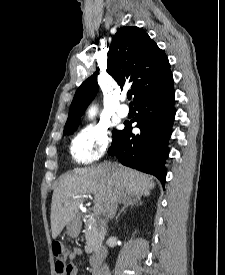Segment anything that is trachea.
<instances>
[{
    "instance_id": "3493384b",
    "label": "trachea",
    "mask_w": 225,
    "mask_h": 275,
    "mask_svg": "<svg viewBox=\"0 0 225 275\" xmlns=\"http://www.w3.org/2000/svg\"><path fill=\"white\" fill-rule=\"evenodd\" d=\"M131 97H132V93H131V92H128V93H127V98H128V100H131Z\"/></svg>"
}]
</instances>
